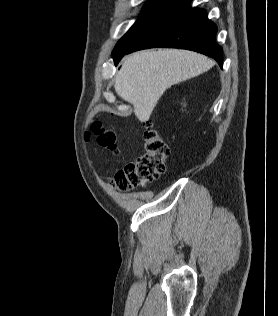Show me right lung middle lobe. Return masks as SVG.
Here are the masks:
<instances>
[{
	"label": "right lung middle lobe",
	"mask_w": 278,
	"mask_h": 316,
	"mask_svg": "<svg viewBox=\"0 0 278 316\" xmlns=\"http://www.w3.org/2000/svg\"><path fill=\"white\" fill-rule=\"evenodd\" d=\"M169 2V0H148L143 7L141 16L118 41L113 50V57L130 48L156 21Z\"/></svg>",
	"instance_id": "1"
}]
</instances>
